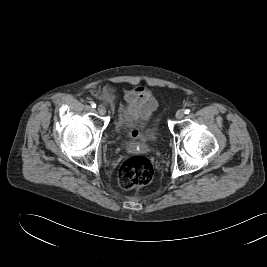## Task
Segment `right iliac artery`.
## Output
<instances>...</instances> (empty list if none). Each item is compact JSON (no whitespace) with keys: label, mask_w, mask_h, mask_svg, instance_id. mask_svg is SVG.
<instances>
[{"label":"right iliac artery","mask_w":267,"mask_h":267,"mask_svg":"<svg viewBox=\"0 0 267 267\" xmlns=\"http://www.w3.org/2000/svg\"><path fill=\"white\" fill-rule=\"evenodd\" d=\"M90 105H91L92 108H95L96 107V104L94 102H91Z\"/></svg>","instance_id":"obj_1"}]
</instances>
